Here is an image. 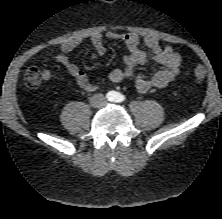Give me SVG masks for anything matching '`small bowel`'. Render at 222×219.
I'll return each instance as SVG.
<instances>
[{
    "instance_id": "c3829d8e",
    "label": "small bowel",
    "mask_w": 222,
    "mask_h": 219,
    "mask_svg": "<svg viewBox=\"0 0 222 219\" xmlns=\"http://www.w3.org/2000/svg\"><path fill=\"white\" fill-rule=\"evenodd\" d=\"M104 38L119 41L126 45L128 54L123 58V67L114 69L109 73V80L118 83L126 79H133L135 88L140 93H145L153 88H164L175 80L182 68L181 58L172 46H162L153 35H146L143 39L134 32L119 33L107 31L105 34L95 33L90 42L94 48L93 57H101L106 53ZM82 40L67 41L62 44L61 52L54 56V60L64 66L68 73L75 79L77 86L86 92H93L97 85L77 65L72 63L67 54L75 50ZM150 58L160 66L152 76L147 77L136 73L137 66L144 64ZM52 77L50 70L42 72L43 82H48Z\"/></svg>"
}]
</instances>
